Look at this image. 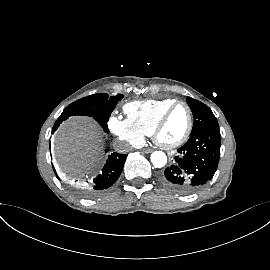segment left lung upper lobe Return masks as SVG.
<instances>
[{
    "instance_id": "left-lung-upper-lobe-1",
    "label": "left lung upper lobe",
    "mask_w": 270,
    "mask_h": 270,
    "mask_svg": "<svg viewBox=\"0 0 270 270\" xmlns=\"http://www.w3.org/2000/svg\"><path fill=\"white\" fill-rule=\"evenodd\" d=\"M187 103L194 117V125L191 134L206 127H219L216 117L208 106L191 97H187Z\"/></svg>"
}]
</instances>
